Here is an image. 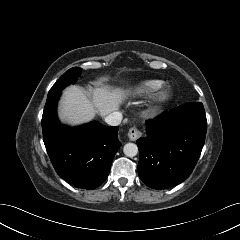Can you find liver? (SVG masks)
I'll use <instances>...</instances> for the list:
<instances>
[{
	"mask_svg": "<svg viewBox=\"0 0 240 240\" xmlns=\"http://www.w3.org/2000/svg\"><path fill=\"white\" fill-rule=\"evenodd\" d=\"M91 97L77 86H69L63 92L59 107L60 119L70 125L91 121L96 114L105 117L119 110L129 90L102 86L90 89Z\"/></svg>",
	"mask_w": 240,
	"mask_h": 240,
	"instance_id": "1",
	"label": "liver"
}]
</instances>
